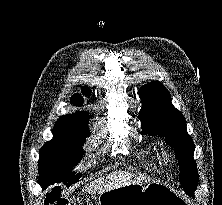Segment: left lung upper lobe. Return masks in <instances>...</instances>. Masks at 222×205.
I'll use <instances>...</instances> for the list:
<instances>
[{"label":"left lung upper lobe","mask_w":222,"mask_h":205,"mask_svg":"<svg viewBox=\"0 0 222 205\" xmlns=\"http://www.w3.org/2000/svg\"><path fill=\"white\" fill-rule=\"evenodd\" d=\"M143 103L138 118L142 133L159 135L175 149L179 161V181L185 192H195L198 186V173L193 158L194 143L187 133L186 121L182 113L171 103L168 90L160 82L153 81L139 89Z\"/></svg>","instance_id":"obj_1"}]
</instances>
